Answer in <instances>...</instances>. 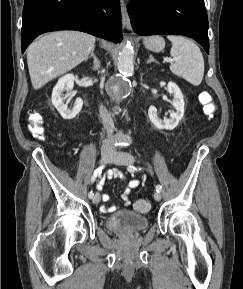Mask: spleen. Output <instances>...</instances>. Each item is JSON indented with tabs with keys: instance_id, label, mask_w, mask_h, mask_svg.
Listing matches in <instances>:
<instances>
[{
	"instance_id": "1",
	"label": "spleen",
	"mask_w": 243,
	"mask_h": 289,
	"mask_svg": "<svg viewBox=\"0 0 243 289\" xmlns=\"http://www.w3.org/2000/svg\"><path fill=\"white\" fill-rule=\"evenodd\" d=\"M167 38L172 43L170 55L174 63L170 65L171 72L194 86L200 85L204 76V59L199 47L183 36L168 35Z\"/></svg>"
}]
</instances>
